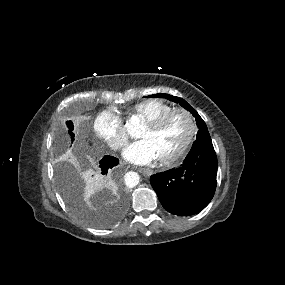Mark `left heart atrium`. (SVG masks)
Masks as SVG:
<instances>
[{
    "label": "left heart atrium",
    "instance_id": "left-heart-atrium-1",
    "mask_svg": "<svg viewBox=\"0 0 285 285\" xmlns=\"http://www.w3.org/2000/svg\"><path fill=\"white\" fill-rule=\"evenodd\" d=\"M123 156L127 161L139 165L150 164L159 158L156 148L148 139H141L128 145Z\"/></svg>",
    "mask_w": 285,
    "mask_h": 285
}]
</instances>
